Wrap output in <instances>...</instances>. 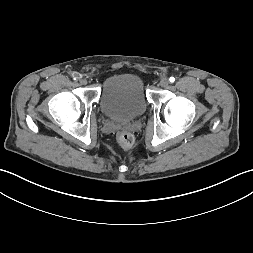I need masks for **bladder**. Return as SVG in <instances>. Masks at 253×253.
I'll use <instances>...</instances> for the list:
<instances>
[{"instance_id": "obj_1", "label": "bladder", "mask_w": 253, "mask_h": 253, "mask_svg": "<svg viewBox=\"0 0 253 253\" xmlns=\"http://www.w3.org/2000/svg\"><path fill=\"white\" fill-rule=\"evenodd\" d=\"M148 101L141 78L123 73L108 78L102 88L99 107L102 114L115 121H130L141 116Z\"/></svg>"}]
</instances>
